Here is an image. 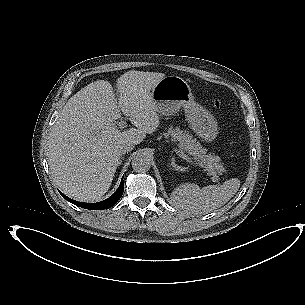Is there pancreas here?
Instances as JSON below:
<instances>
[{
	"label": "pancreas",
	"instance_id": "cf45deb5",
	"mask_svg": "<svg viewBox=\"0 0 305 305\" xmlns=\"http://www.w3.org/2000/svg\"><path fill=\"white\" fill-rule=\"evenodd\" d=\"M171 140L178 142L180 151L192 155L195 160L204 163L207 171L216 178V175L224 172V166L218 156L207 153V150L189 134V131L181 130L179 127H170L167 133Z\"/></svg>",
	"mask_w": 305,
	"mask_h": 305
}]
</instances>
